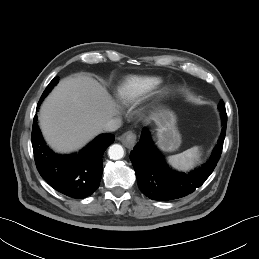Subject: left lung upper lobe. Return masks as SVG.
<instances>
[{
    "label": "left lung upper lobe",
    "mask_w": 259,
    "mask_h": 259,
    "mask_svg": "<svg viewBox=\"0 0 259 259\" xmlns=\"http://www.w3.org/2000/svg\"><path fill=\"white\" fill-rule=\"evenodd\" d=\"M218 107H225V106H224V102L221 101V102L218 104Z\"/></svg>",
    "instance_id": "left-lung-upper-lobe-1"
}]
</instances>
